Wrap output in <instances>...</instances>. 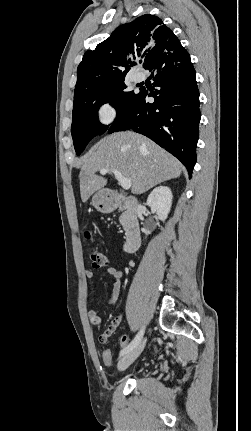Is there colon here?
Wrapping results in <instances>:
<instances>
[{
    "label": "colon",
    "mask_w": 251,
    "mask_h": 431,
    "mask_svg": "<svg viewBox=\"0 0 251 431\" xmlns=\"http://www.w3.org/2000/svg\"><path fill=\"white\" fill-rule=\"evenodd\" d=\"M85 237L91 240L93 238V233L91 231H86ZM89 257H90L92 266L94 268H102L108 264V259L106 255L100 250H98L97 248L90 249ZM128 342H129V337L127 335L121 336L118 342L119 344L118 349H121V347H123V349H126V347L128 346L127 345ZM100 359H101L102 365L108 366L109 369L116 368V363L113 362L114 353L111 350H104L101 353Z\"/></svg>",
    "instance_id": "colon-1"
}]
</instances>
